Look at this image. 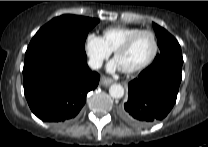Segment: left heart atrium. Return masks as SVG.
I'll list each match as a JSON object with an SVG mask.
<instances>
[{"mask_svg": "<svg viewBox=\"0 0 208 147\" xmlns=\"http://www.w3.org/2000/svg\"><path fill=\"white\" fill-rule=\"evenodd\" d=\"M118 67H119V64H118L117 60L111 61L108 65V69L110 71H113V70L117 69Z\"/></svg>", "mask_w": 208, "mask_h": 147, "instance_id": "39dd6f15", "label": "left heart atrium"}]
</instances>
